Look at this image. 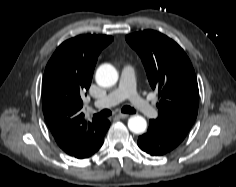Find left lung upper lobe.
<instances>
[{
  "mask_svg": "<svg viewBox=\"0 0 236 187\" xmlns=\"http://www.w3.org/2000/svg\"><path fill=\"white\" fill-rule=\"evenodd\" d=\"M126 41L141 57L149 83L161 97L154 121L185 137L199 104L197 79L188 56L175 41L153 30L127 35Z\"/></svg>",
  "mask_w": 236,
  "mask_h": 187,
  "instance_id": "1",
  "label": "left lung upper lobe"
}]
</instances>
